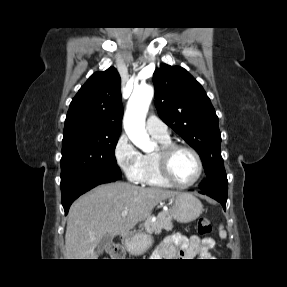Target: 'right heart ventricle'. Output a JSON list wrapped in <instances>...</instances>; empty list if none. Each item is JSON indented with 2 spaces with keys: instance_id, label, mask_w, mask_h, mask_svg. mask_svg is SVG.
Here are the masks:
<instances>
[{
  "instance_id": "obj_1",
  "label": "right heart ventricle",
  "mask_w": 287,
  "mask_h": 287,
  "mask_svg": "<svg viewBox=\"0 0 287 287\" xmlns=\"http://www.w3.org/2000/svg\"><path fill=\"white\" fill-rule=\"evenodd\" d=\"M162 146L171 144L170 138L160 139L154 137ZM140 183L155 187H170L172 184L168 182L161 174L156 152L146 153L142 155V172Z\"/></svg>"
}]
</instances>
